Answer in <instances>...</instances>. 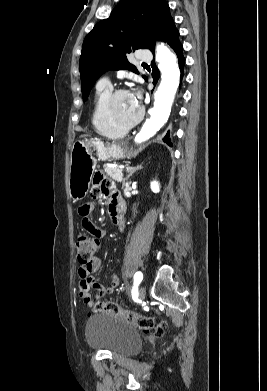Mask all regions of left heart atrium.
<instances>
[{
    "instance_id": "left-heart-atrium-1",
    "label": "left heart atrium",
    "mask_w": 267,
    "mask_h": 391,
    "mask_svg": "<svg viewBox=\"0 0 267 391\" xmlns=\"http://www.w3.org/2000/svg\"><path fill=\"white\" fill-rule=\"evenodd\" d=\"M133 100L135 104L140 107V95L138 93H132Z\"/></svg>"
}]
</instances>
